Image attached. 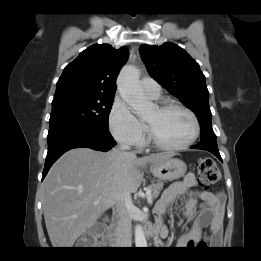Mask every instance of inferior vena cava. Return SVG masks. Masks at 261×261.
Wrapping results in <instances>:
<instances>
[{"label":"inferior vena cava","instance_id":"602c4592","mask_svg":"<svg viewBox=\"0 0 261 261\" xmlns=\"http://www.w3.org/2000/svg\"><path fill=\"white\" fill-rule=\"evenodd\" d=\"M121 151L128 150L129 146L121 145ZM133 158L136 154L131 153ZM131 195L124 193L116 201L117 235L116 245L119 247H131V219L129 205H131Z\"/></svg>","mask_w":261,"mask_h":261}]
</instances>
